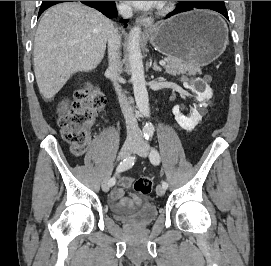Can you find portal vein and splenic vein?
Returning <instances> with one entry per match:
<instances>
[{
  "mask_svg": "<svg viewBox=\"0 0 271 266\" xmlns=\"http://www.w3.org/2000/svg\"><path fill=\"white\" fill-rule=\"evenodd\" d=\"M159 64H160L161 66H165V65H166V61H165V60H161V61L159 62Z\"/></svg>",
  "mask_w": 271,
  "mask_h": 266,
  "instance_id": "18ae733b",
  "label": "portal vein and splenic vein"
}]
</instances>
